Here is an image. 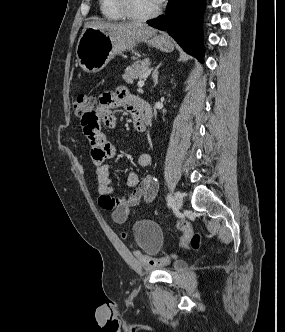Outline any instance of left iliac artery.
<instances>
[{
  "mask_svg": "<svg viewBox=\"0 0 285 332\" xmlns=\"http://www.w3.org/2000/svg\"><path fill=\"white\" fill-rule=\"evenodd\" d=\"M167 205L168 207H172L173 205V197L170 194L167 195Z\"/></svg>",
  "mask_w": 285,
  "mask_h": 332,
  "instance_id": "1",
  "label": "left iliac artery"
}]
</instances>
